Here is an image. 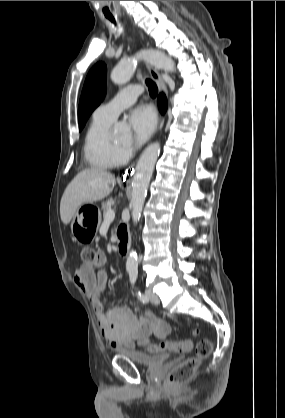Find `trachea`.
Returning <instances> with one entry per match:
<instances>
[{"mask_svg":"<svg viewBox=\"0 0 285 418\" xmlns=\"http://www.w3.org/2000/svg\"><path fill=\"white\" fill-rule=\"evenodd\" d=\"M108 19H109L111 22L115 23V20H114V18H113V17H108ZM146 84H147V86H148L149 94H150L152 97H156V96H157V94H158V88H157L156 84H155L152 80H149V79H147V80H146Z\"/></svg>","mask_w":285,"mask_h":418,"instance_id":"obj_1","label":"trachea"}]
</instances>
